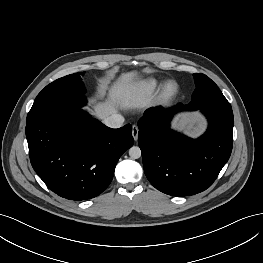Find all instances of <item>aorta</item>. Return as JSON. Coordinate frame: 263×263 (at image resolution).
<instances>
[{
    "instance_id": "aorta-1",
    "label": "aorta",
    "mask_w": 263,
    "mask_h": 263,
    "mask_svg": "<svg viewBox=\"0 0 263 263\" xmlns=\"http://www.w3.org/2000/svg\"><path fill=\"white\" fill-rule=\"evenodd\" d=\"M129 156L132 159H138L141 157V149L138 146H132L129 149Z\"/></svg>"
}]
</instances>
